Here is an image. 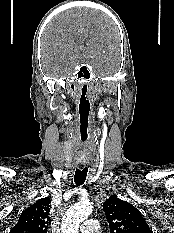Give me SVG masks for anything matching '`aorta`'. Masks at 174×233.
I'll use <instances>...</instances> for the list:
<instances>
[{
    "label": "aorta",
    "instance_id": "1",
    "mask_svg": "<svg viewBox=\"0 0 174 233\" xmlns=\"http://www.w3.org/2000/svg\"><path fill=\"white\" fill-rule=\"evenodd\" d=\"M92 213V207L88 202H79L71 206L65 213L62 224V233H78L80 224Z\"/></svg>",
    "mask_w": 174,
    "mask_h": 233
}]
</instances>
